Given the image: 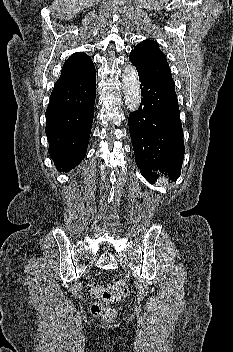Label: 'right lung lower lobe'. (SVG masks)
Listing matches in <instances>:
<instances>
[{"instance_id": "1", "label": "right lung lower lobe", "mask_w": 233, "mask_h": 352, "mask_svg": "<svg viewBox=\"0 0 233 352\" xmlns=\"http://www.w3.org/2000/svg\"><path fill=\"white\" fill-rule=\"evenodd\" d=\"M95 68L56 82L46 110L49 154L59 171L75 168L85 157L94 116Z\"/></svg>"}]
</instances>
